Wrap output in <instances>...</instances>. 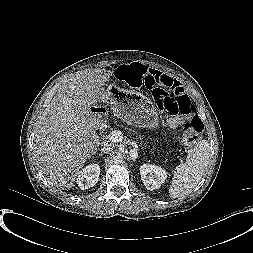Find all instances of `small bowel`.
Returning a JSON list of instances; mask_svg holds the SVG:
<instances>
[{
  "instance_id": "c3829d8e",
  "label": "small bowel",
  "mask_w": 253,
  "mask_h": 253,
  "mask_svg": "<svg viewBox=\"0 0 253 253\" xmlns=\"http://www.w3.org/2000/svg\"><path fill=\"white\" fill-rule=\"evenodd\" d=\"M180 85L181 84L171 76L153 68H147V73L143 79V86L151 90L156 87H181ZM177 123L178 121L173 119L170 121V126L174 127Z\"/></svg>"
}]
</instances>
